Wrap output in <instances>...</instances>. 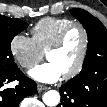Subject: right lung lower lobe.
<instances>
[{"instance_id":"obj_1","label":"right lung lower lobe","mask_w":107,"mask_h":107,"mask_svg":"<svg viewBox=\"0 0 107 107\" xmlns=\"http://www.w3.org/2000/svg\"><path fill=\"white\" fill-rule=\"evenodd\" d=\"M14 80L19 82L15 88H2L6 83ZM36 89V83L26 77L17 67L11 71L0 73V107H18L21 99L33 95Z\"/></svg>"}]
</instances>
